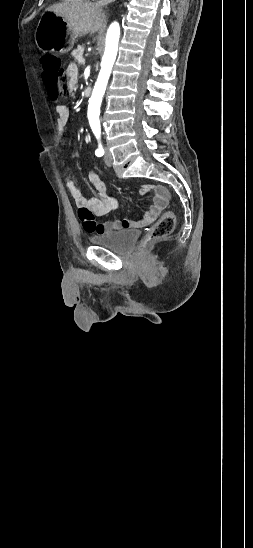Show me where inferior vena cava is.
<instances>
[{
  "instance_id": "1",
  "label": "inferior vena cava",
  "mask_w": 253,
  "mask_h": 548,
  "mask_svg": "<svg viewBox=\"0 0 253 548\" xmlns=\"http://www.w3.org/2000/svg\"><path fill=\"white\" fill-rule=\"evenodd\" d=\"M113 1H115V0H100V1H98V4H99L100 6H105V5H107V4H109V3L113 2Z\"/></svg>"
}]
</instances>
